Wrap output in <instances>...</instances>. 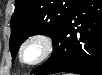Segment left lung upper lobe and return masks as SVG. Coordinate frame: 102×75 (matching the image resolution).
<instances>
[{
  "label": "left lung upper lobe",
  "mask_w": 102,
  "mask_h": 75,
  "mask_svg": "<svg viewBox=\"0 0 102 75\" xmlns=\"http://www.w3.org/2000/svg\"><path fill=\"white\" fill-rule=\"evenodd\" d=\"M81 0H15L11 17L10 50L15 59L19 46L31 35L54 37Z\"/></svg>",
  "instance_id": "obj_1"
}]
</instances>
